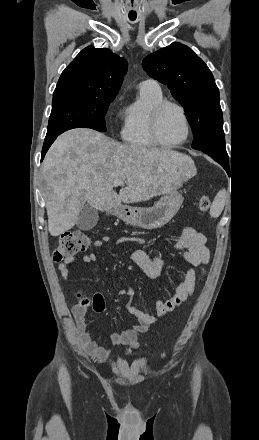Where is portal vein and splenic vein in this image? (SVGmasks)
Masks as SVG:
<instances>
[{
  "instance_id": "18ae733b",
  "label": "portal vein and splenic vein",
  "mask_w": 259,
  "mask_h": 440,
  "mask_svg": "<svg viewBox=\"0 0 259 440\" xmlns=\"http://www.w3.org/2000/svg\"><path fill=\"white\" fill-rule=\"evenodd\" d=\"M124 180L123 179H118L116 181H114V185L115 186H124Z\"/></svg>"
}]
</instances>
